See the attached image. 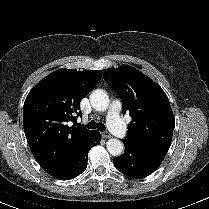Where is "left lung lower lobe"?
Wrapping results in <instances>:
<instances>
[{
    "label": "left lung lower lobe",
    "instance_id": "left-lung-lower-lobe-1",
    "mask_svg": "<svg viewBox=\"0 0 209 209\" xmlns=\"http://www.w3.org/2000/svg\"><path fill=\"white\" fill-rule=\"evenodd\" d=\"M123 143L125 145L124 153L114 158L113 163L121 173L132 178H143L153 173L161 165L166 155L135 147L125 141Z\"/></svg>",
    "mask_w": 209,
    "mask_h": 209
}]
</instances>
